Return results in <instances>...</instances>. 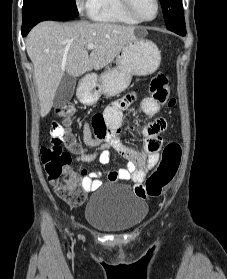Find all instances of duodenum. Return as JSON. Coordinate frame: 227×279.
<instances>
[{"mask_svg":"<svg viewBox=\"0 0 227 279\" xmlns=\"http://www.w3.org/2000/svg\"><path fill=\"white\" fill-rule=\"evenodd\" d=\"M81 103H84V100H81Z\"/></svg>","mask_w":227,"mask_h":279,"instance_id":"duodenum-1","label":"duodenum"}]
</instances>
